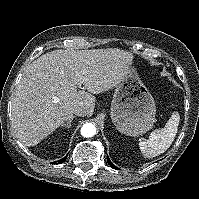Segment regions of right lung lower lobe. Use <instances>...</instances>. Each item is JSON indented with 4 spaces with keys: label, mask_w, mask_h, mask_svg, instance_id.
<instances>
[{
    "label": "right lung lower lobe",
    "mask_w": 199,
    "mask_h": 199,
    "mask_svg": "<svg viewBox=\"0 0 199 199\" xmlns=\"http://www.w3.org/2000/svg\"><path fill=\"white\" fill-rule=\"evenodd\" d=\"M67 158V156H65L64 158H62L61 160L57 161L56 164H60L63 163L65 161V159Z\"/></svg>",
    "instance_id": "98d812e1"
}]
</instances>
